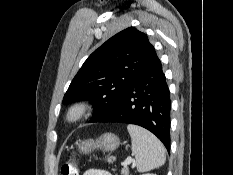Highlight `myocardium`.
Returning <instances> with one entry per match:
<instances>
[{"instance_id": "myocardium-1", "label": "myocardium", "mask_w": 233, "mask_h": 175, "mask_svg": "<svg viewBox=\"0 0 233 175\" xmlns=\"http://www.w3.org/2000/svg\"><path fill=\"white\" fill-rule=\"evenodd\" d=\"M91 109V104L87 100H79L74 102L67 110L65 121L69 124L80 121Z\"/></svg>"}]
</instances>
